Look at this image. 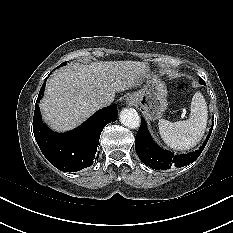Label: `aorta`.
<instances>
[{
    "label": "aorta",
    "instance_id": "aorta-1",
    "mask_svg": "<svg viewBox=\"0 0 233 233\" xmlns=\"http://www.w3.org/2000/svg\"><path fill=\"white\" fill-rule=\"evenodd\" d=\"M120 121L130 129H137L140 126V117L137 111L132 108H126L121 111Z\"/></svg>",
    "mask_w": 233,
    "mask_h": 233
}]
</instances>
